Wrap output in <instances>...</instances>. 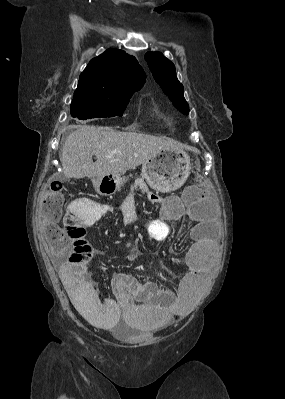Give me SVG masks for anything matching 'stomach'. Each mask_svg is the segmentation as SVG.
Wrapping results in <instances>:
<instances>
[{"label": "stomach", "mask_w": 285, "mask_h": 399, "mask_svg": "<svg viewBox=\"0 0 285 399\" xmlns=\"http://www.w3.org/2000/svg\"><path fill=\"white\" fill-rule=\"evenodd\" d=\"M189 155L182 149H165L152 156L142 165V177L155 190L171 192L183 185L190 174ZM124 178L106 175L94 179L93 186L101 195H111L121 189Z\"/></svg>", "instance_id": "obj_1"}]
</instances>
